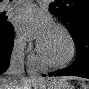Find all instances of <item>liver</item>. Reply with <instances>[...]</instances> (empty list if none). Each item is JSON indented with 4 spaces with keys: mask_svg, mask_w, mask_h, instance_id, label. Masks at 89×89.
Listing matches in <instances>:
<instances>
[{
    "mask_svg": "<svg viewBox=\"0 0 89 89\" xmlns=\"http://www.w3.org/2000/svg\"><path fill=\"white\" fill-rule=\"evenodd\" d=\"M7 81H11L13 83V85L15 87H17L15 89H24L22 87H28L26 85L27 81L25 78L11 77V76L7 75L6 77H1V87H2L1 89H7V88H5ZM49 82H55V83L60 84V83L66 82V79H64V78H47V79H43V80L39 81L37 86L45 85Z\"/></svg>",
    "mask_w": 89,
    "mask_h": 89,
    "instance_id": "1",
    "label": "liver"
}]
</instances>
